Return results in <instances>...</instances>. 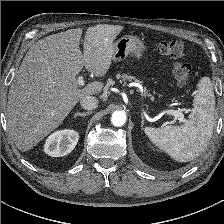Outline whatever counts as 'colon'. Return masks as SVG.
Returning a JSON list of instances; mask_svg holds the SVG:
<instances>
[{
	"label": "colon",
	"instance_id": "1",
	"mask_svg": "<svg viewBox=\"0 0 224 224\" xmlns=\"http://www.w3.org/2000/svg\"><path fill=\"white\" fill-rule=\"evenodd\" d=\"M159 53L173 60V76L180 87H186L192 75V66L185 60L186 47L180 40H165L158 45Z\"/></svg>",
	"mask_w": 224,
	"mask_h": 224
}]
</instances>
